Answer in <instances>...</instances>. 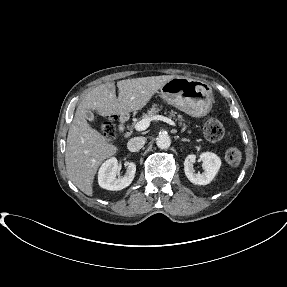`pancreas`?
<instances>
[{
	"instance_id": "pancreas-1",
	"label": "pancreas",
	"mask_w": 287,
	"mask_h": 287,
	"mask_svg": "<svg viewBox=\"0 0 287 287\" xmlns=\"http://www.w3.org/2000/svg\"><path fill=\"white\" fill-rule=\"evenodd\" d=\"M161 110V107H158L157 105H153L148 111L147 114H144L143 117H153L156 114H158V112ZM177 112L176 111H171L170 112V116L175 118L176 117ZM177 119L182 121V116L181 115H177ZM136 125V124H135ZM180 125H182V122H180ZM187 126L185 124H183V129H186Z\"/></svg>"
}]
</instances>
